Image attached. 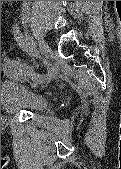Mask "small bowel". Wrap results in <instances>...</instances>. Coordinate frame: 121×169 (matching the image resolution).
Segmentation results:
<instances>
[{
    "label": "small bowel",
    "instance_id": "obj_1",
    "mask_svg": "<svg viewBox=\"0 0 121 169\" xmlns=\"http://www.w3.org/2000/svg\"><path fill=\"white\" fill-rule=\"evenodd\" d=\"M34 74L35 73H33L32 68L30 66H27L20 60L5 57L2 61L1 64L2 76H7L14 79H28L32 78Z\"/></svg>",
    "mask_w": 121,
    "mask_h": 169
}]
</instances>
